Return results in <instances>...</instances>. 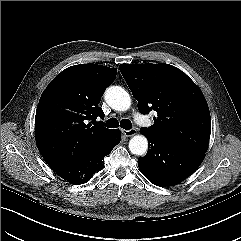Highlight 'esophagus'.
<instances>
[{"mask_svg": "<svg viewBox=\"0 0 241 241\" xmlns=\"http://www.w3.org/2000/svg\"><path fill=\"white\" fill-rule=\"evenodd\" d=\"M123 134L126 136V137H132L134 135L137 134V130L132 128V129H129V130H123Z\"/></svg>", "mask_w": 241, "mask_h": 241, "instance_id": "obj_1", "label": "esophagus"}]
</instances>
